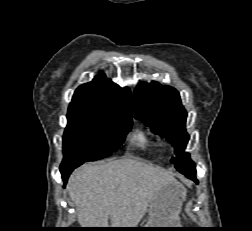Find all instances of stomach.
I'll list each match as a JSON object with an SVG mask.
<instances>
[{"mask_svg":"<svg viewBox=\"0 0 252 231\" xmlns=\"http://www.w3.org/2000/svg\"><path fill=\"white\" fill-rule=\"evenodd\" d=\"M186 193L184 186L176 180L163 185L150 203L148 222L141 228H179L178 215Z\"/></svg>","mask_w":252,"mask_h":231,"instance_id":"stomach-1","label":"stomach"}]
</instances>
